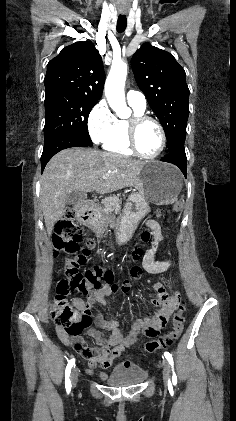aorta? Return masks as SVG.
I'll list each match as a JSON object with an SVG mask.
<instances>
[{"instance_id":"aorta-1","label":"aorta","mask_w":236,"mask_h":421,"mask_svg":"<svg viewBox=\"0 0 236 421\" xmlns=\"http://www.w3.org/2000/svg\"><path fill=\"white\" fill-rule=\"evenodd\" d=\"M127 76V64L122 62L117 68L111 66V70L105 82L106 98L113 110L119 114V110L125 104L124 84Z\"/></svg>"}]
</instances>
